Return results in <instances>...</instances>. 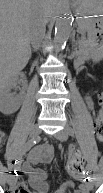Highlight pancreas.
I'll use <instances>...</instances> for the list:
<instances>
[{
	"instance_id": "cf45deb5",
	"label": "pancreas",
	"mask_w": 103,
	"mask_h": 193,
	"mask_svg": "<svg viewBox=\"0 0 103 193\" xmlns=\"http://www.w3.org/2000/svg\"><path fill=\"white\" fill-rule=\"evenodd\" d=\"M81 25L83 27H89V22L88 21H82L81 22ZM78 47H79V52L81 55H87L88 54V42L87 40L85 39L84 36H82L79 40H78Z\"/></svg>"
}]
</instances>
